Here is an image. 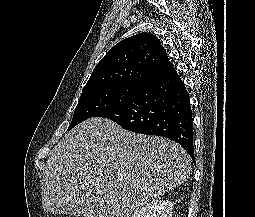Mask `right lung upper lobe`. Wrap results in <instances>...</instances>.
Segmentation results:
<instances>
[{
	"label": "right lung upper lobe",
	"mask_w": 255,
	"mask_h": 217,
	"mask_svg": "<svg viewBox=\"0 0 255 217\" xmlns=\"http://www.w3.org/2000/svg\"><path fill=\"white\" fill-rule=\"evenodd\" d=\"M173 71L160 40L143 32L112 47L96 65L82 91L113 84L147 86Z\"/></svg>",
	"instance_id": "cb5924a9"
}]
</instances>
